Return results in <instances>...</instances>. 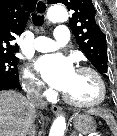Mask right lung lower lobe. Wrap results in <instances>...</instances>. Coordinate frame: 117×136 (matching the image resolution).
Returning a JSON list of instances; mask_svg holds the SVG:
<instances>
[{
  "instance_id": "obj_1",
  "label": "right lung lower lobe",
  "mask_w": 117,
  "mask_h": 136,
  "mask_svg": "<svg viewBox=\"0 0 117 136\" xmlns=\"http://www.w3.org/2000/svg\"><path fill=\"white\" fill-rule=\"evenodd\" d=\"M8 89H21L18 77H0V91Z\"/></svg>"
}]
</instances>
